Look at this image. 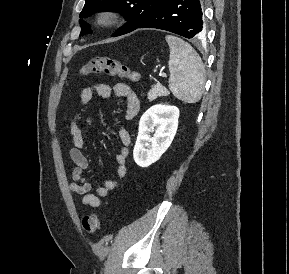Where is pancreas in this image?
<instances>
[{"instance_id": "1", "label": "pancreas", "mask_w": 289, "mask_h": 274, "mask_svg": "<svg viewBox=\"0 0 289 274\" xmlns=\"http://www.w3.org/2000/svg\"><path fill=\"white\" fill-rule=\"evenodd\" d=\"M169 92L168 90L162 86L160 83H157L152 86L150 91L147 94V98L149 101L155 100L157 97H163V96H168Z\"/></svg>"}]
</instances>
